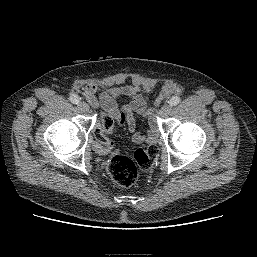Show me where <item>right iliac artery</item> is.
<instances>
[{
    "instance_id": "obj_1",
    "label": "right iliac artery",
    "mask_w": 257,
    "mask_h": 257,
    "mask_svg": "<svg viewBox=\"0 0 257 257\" xmlns=\"http://www.w3.org/2000/svg\"><path fill=\"white\" fill-rule=\"evenodd\" d=\"M69 99L73 104H78L80 101V98L75 94H72Z\"/></svg>"
}]
</instances>
